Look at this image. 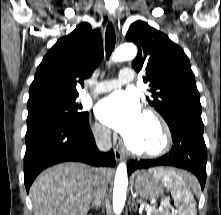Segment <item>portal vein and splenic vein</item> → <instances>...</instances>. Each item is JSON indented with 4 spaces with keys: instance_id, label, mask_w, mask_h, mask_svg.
I'll return each instance as SVG.
<instances>
[{
    "instance_id": "18ae733b",
    "label": "portal vein and splenic vein",
    "mask_w": 221,
    "mask_h": 215,
    "mask_svg": "<svg viewBox=\"0 0 221 215\" xmlns=\"http://www.w3.org/2000/svg\"><path fill=\"white\" fill-rule=\"evenodd\" d=\"M138 202L141 203V200H139ZM162 206H169V201L168 200H164V202L161 203ZM172 211H174L175 213L177 212L175 209H172ZM151 211L148 210L147 211V215H150Z\"/></svg>"
}]
</instances>
